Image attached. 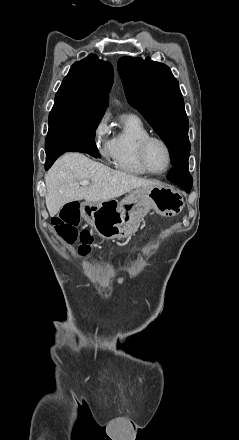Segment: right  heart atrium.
<instances>
[{
	"label": "right heart atrium",
	"instance_id": "1",
	"mask_svg": "<svg viewBox=\"0 0 239 440\" xmlns=\"http://www.w3.org/2000/svg\"><path fill=\"white\" fill-rule=\"evenodd\" d=\"M91 142L102 158H110L113 149V138L110 137L109 120L106 115L102 116L91 129Z\"/></svg>",
	"mask_w": 239,
	"mask_h": 440
}]
</instances>
